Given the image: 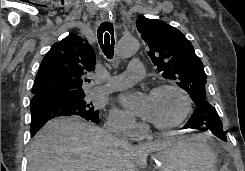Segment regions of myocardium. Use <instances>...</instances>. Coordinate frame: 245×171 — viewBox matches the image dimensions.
Segmentation results:
<instances>
[{
	"mask_svg": "<svg viewBox=\"0 0 245 171\" xmlns=\"http://www.w3.org/2000/svg\"><path fill=\"white\" fill-rule=\"evenodd\" d=\"M167 90L174 91V92L178 93L179 96L181 97V99L183 100L184 106H183V110H182L181 114L179 115V117L176 120H174L173 122H171L169 124H164V125L152 122V126L154 128H156L157 130H160V131H168V130H172V129L180 126L187 119V117L189 116V114L191 113V110H192V101H191L190 96L188 95V93L183 88H181L178 85H175V84L157 85L151 89L150 95L156 94V93H159L162 91H167Z\"/></svg>",
	"mask_w": 245,
	"mask_h": 171,
	"instance_id": "myocardium-1",
	"label": "myocardium"
}]
</instances>
